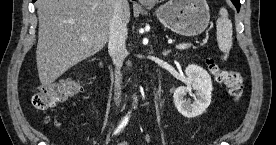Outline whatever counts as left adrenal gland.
I'll use <instances>...</instances> for the list:
<instances>
[{
  "instance_id": "1",
  "label": "left adrenal gland",
  "mask_w": 276,
  "mask_h": 145,
  "mask_svg": "<svg viewBox=\"0 0 276 145\" xmlns=\"http://www.w3.org/2000/svg\"><path fill=\"white\" fill-rule=\"evenodd\" d=\"M168 53H170V50H165L164 52H163V55H167Z\"/></svg>"
}]
</instances>
